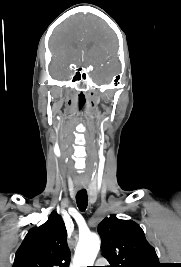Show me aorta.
<instances>
[{"label":"aorta","mask_w":181,"mask_h":267,"mask_svg":"<svg viewBox=\"0 0 181 267\" xmlns=\"http://www.w3.org/2000/svg\"><path fill=\"white\" fill-rule=\"evenodd\" d=\"M100 237L90 233L79 238L74 255V267L92 266L100 250Z\"/></svg>","instance_id":"obj_1"}]
</instances>
